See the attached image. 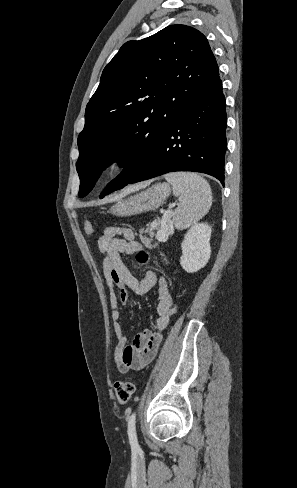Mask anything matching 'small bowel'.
Returning a JSON list of instances; mask_svg holds the SVG:
<instances>
[{"label": "small bowel", "instance_id": "small-bowel-1", "mask_svg": "<svg viewBox=\"0 0 297 488\" xmlns=\"http://www.w3.org/2000/svg\"><path fill=\"white\" fill-rule=\"evenodd\" d=\"M98 251L103 255L101 268L104 273L110 300V316L115 333L116 346L114 359L120 373L140 370L155 357L162 340V331L168 325L176 311L172 295L171 282L166 275L157 276L148 270L139 280L134 277L121 259L122 254L145 252L144 246L135 240L132 229L128 226H110L104 229L97 241ZM158 285V304L156 318L151 329L136 335L132 344L126 345V336L121 324L120 305L125 306L131 300L130 291L142 295Z\"/></svg>", "mask_w": 297, "mask_h": 488}]
</instances>
